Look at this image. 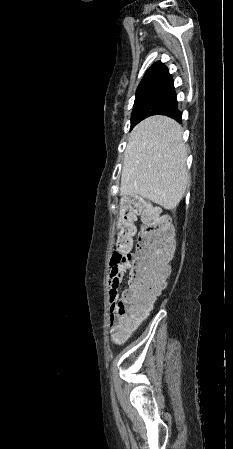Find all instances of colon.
Instances as JSON below:
<instances>
[{"mask_svg":"<svg viewBox=\"0 0 233 449\" xmlns=\"http://www.w3.org/2000/svg\"><path fill=\"white\" fill-rule=\"evenodd\" d=\"M140 216L142 227L137 232L135 219ZM138 241L134 246V238ZM174 250V238L169 219L160 214L158 206L134 196L120 202L117 234L112 263H127L131 267L129 288L115 307L112 320L115 337L126 338L161 291L169 274V261Z\"/></svg>","mask_w":233,"mask_h":449,"instance_id":"colon-1","label":"colon"}]
</instances>
